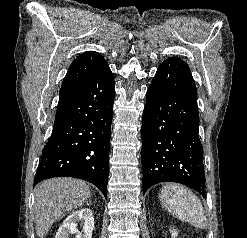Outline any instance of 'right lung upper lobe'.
<instances>
[{
	"label": "right lung upper lobe",
	"instance_id": "obj_1",
	"mask_svg": "<svg viewBox=\"0 0 247 238\" xmlns=\"http://www.w3.org/2000/svg\"><path fill=\"white\" fill-rule=\"evenodd\" d=\"M107 67L105 59L95 51L79 55L71 63L63 80L59 93V103L85 87Z\"/></svg>",
	"mask_w": 247,
	"mask_h": 238
}]
</instances>
